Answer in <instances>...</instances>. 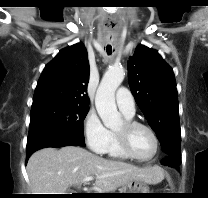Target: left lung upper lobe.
I'll list each match as a JSON object with an SVG mask.
<instances>
[{"label":"left lung upper lobe","mask_w":208,"mask_h":198,"mask_svg":"<svg viewBox=\"0 0 208 198\" xmlns=\"http://www.w3.org/2000/svg\"><path fill=\"white\" fill-rule=\"evenodd\" d=\"M127 66L131 92L162 151L181 162L178 94L172 68L156 50L144 45L137 46Z\"/></svg>","instance_id":"left-lung-upper-lobe-1"}]
</instances>
